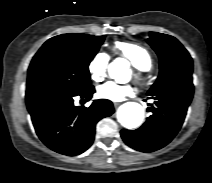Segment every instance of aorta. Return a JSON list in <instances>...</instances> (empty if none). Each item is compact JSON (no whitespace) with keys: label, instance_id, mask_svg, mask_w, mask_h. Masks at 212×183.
Returning a JSON list of instances; mask_svg holds the SVG:
<instances>
[{"label":"aorta","instance_id":"obj_1","mask_svg":"<svg viewBox=\"0 0 212 183\" xmlns=\"http://www.w3.org/2000/svg\"><path fill=\"white\" fill-rule=\"evenodd\" d=\"M126 67L127 61L125 59L118 58L110 64L109 74L111 77L115 78V69ZM117 119L122 126L128 129L137 128L144 120V110L138 103L127 102L118 109Z\"/></svg>","mask_w":212,"mask_h":183}]
</instances>
